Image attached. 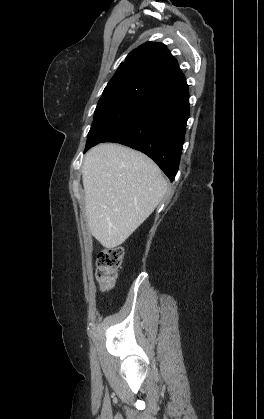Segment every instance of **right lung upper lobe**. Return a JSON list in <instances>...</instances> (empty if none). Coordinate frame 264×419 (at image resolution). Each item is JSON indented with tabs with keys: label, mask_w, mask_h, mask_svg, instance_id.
<instances>
[{
	"label": "right lung upper lobe",
	"mask_w": 264,
	"mask_h": 419,
	"mask_svg": "<svg viewBox=\"0 0 264 419\" xmlns=\"http://www.w3.org/2000/svg\"><path fill=\"white\" fill-rule=\"evenodd\" d=\"M127 85L152 97L188 88L178 62L162 43L147 42L128 54L106 87Z\"/></svg>",
	"instance_id": "cb5924a9"
}]
</instances>
